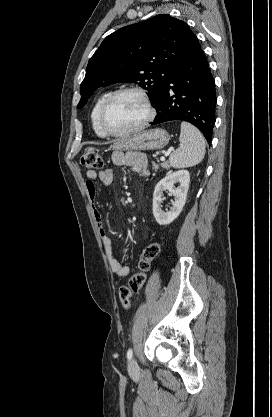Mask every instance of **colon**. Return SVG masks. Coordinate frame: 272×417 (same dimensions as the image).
<instances>
[{
    "mask_svg": "<svg viewBox=\"0 0 272 417\" xmlns=\"http://www.w3.org/2000/svg\"><path fill=\"white\" fill-rule=\"evenodd\" d=\"M81 164L88 169H99L103 167L104 162L95 147H86L81 156ZM161 249V243L155 242L149 244L139 259V272L133 274L128 282L120 287L118 294L119 301L125 310L129 309L132 296L141 291L150 270V263L159 255Z\"/></svg>",
    "mask_w": 272,
    "mask_h": 417,
    "instance_id": "colon-1",
    "label": "colon"
}]
</instances>
